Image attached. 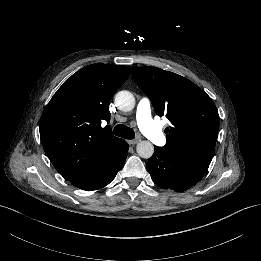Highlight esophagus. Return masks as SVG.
Returning <instances> with one entry per match:
<instances>
[{"instance_id": "esophagus-1", "label": "esophagus", "mask_w": 261, "mask_h": 261, "mask_svg": "<svg viewBox=\"0 0 261 261\" xmlns=\"http://www.w3.org/2000/svg\"><path fill=\"white\" fill-rule=\"evenodd\" d=\"M127 142L131 145H135L139 142V140H136V139L135 140H128Z\"/></svg>"}]
</instances>
